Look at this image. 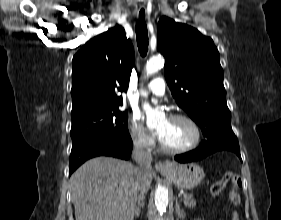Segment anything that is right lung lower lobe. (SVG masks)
I'll list each match as a JSON object with an SVG mask.
<instances>
[{
  "instance_id": "98d812e1",
  "label": "right lung lower lobe",
  "mask_w": 281,
  "mask_h": 220,
  "mask_svg": "<svg viewBox=\"0 0 281 220\" xmlns=\"http://www.w3.org/2000/svg\"><path fill=\"white\" fill-rule=\"evenodd\" d=\"M133 142L129 139L116 140H89L72 145L69 158V175H71L86 160L97 156H113L129 159Z\"/></svg>"
}]
</instances>
